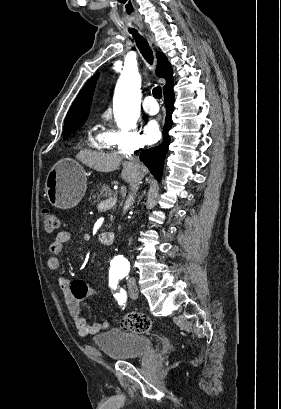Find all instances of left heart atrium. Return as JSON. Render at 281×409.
<instances>
[{
	"label": "left heart atrium",
	"mask_w": 281,
	"mask_h": 409,
	"mask_svg": "<svg viewBox=\"0 0 281 409\" xmlns=\"http://www.w3.org/2000/svg\"><path fill=\"white\" fill-rule=\"evenodd\" d=\"M160 136L159 125L157 122H150L145 129V137L149 143L155 142Z\"/></svg>",
	"instance_id": "39dd6f15"
}]
</instances>
